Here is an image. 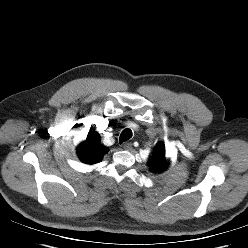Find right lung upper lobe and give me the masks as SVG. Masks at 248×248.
<instances>
[{
	"mask_svg": "<svg viewBox=\"0 0 248 248\" xmlns=\"http://www.w3.org/2000/svg\"><path fill=\"white\" fill-rule=\"evenodd\" d=\"M101 137L96 131H90L86 140L77 147V154L85 164H96L102 160L108 149L101 144Z\"/></svg>",
	"mask_w": 248,
	"mask_h": 248,
	"instance_id": "obj_1",
	"label": "right lung upper lobe"
}]
</instances>
